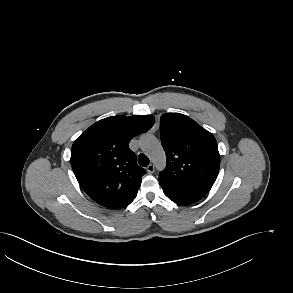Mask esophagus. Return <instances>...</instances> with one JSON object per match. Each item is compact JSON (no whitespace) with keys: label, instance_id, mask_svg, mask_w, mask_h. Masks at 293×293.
Listing matches in <instances>:
<instances>
[{"label":"esophagus","instance_id":"esophagus-1","mask_svg":"<svg viewBox=\"0 0 293 293\" xmlns=\"http://www.w3.org/2000/svg\"><path fill=\"white\" fill-rule=\"evenodd\" d=\"M146 170L148 173L152 174L155 170V167L153 164H149L147 167H146Z\"/></svg>","mask_w":293,"mask_h":293}]
</instances>
